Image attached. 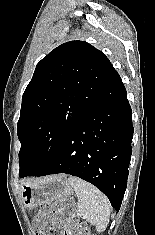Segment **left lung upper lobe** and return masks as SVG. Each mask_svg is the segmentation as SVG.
<instances>
[{"mask_svg": "<svg viewBox=\"0 0 155 235\" xmlns=\"http://www.w3.org/2000/svg\"><path fill=\"white\" fill-rule=\"evenodd\" d=\"M115 73L108 58L85 41L66 42L37 64L17 125L20 177L47 164Z\"/></svg>", "mask_w": 155, "mask_h": 235, "instance_id": "5c2ea615", "label": "left lung upper lobe"}]
</instances>
